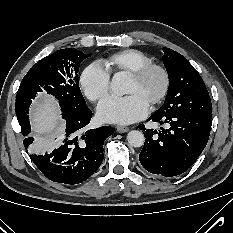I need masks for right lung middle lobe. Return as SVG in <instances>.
<instances>
[{"mask_svg": "<svg viewBox=\"0 0 233 233\" xmlns=\"http://www.w3.org/2000/svg\"><path fill=\"white\" fill-rule=\"evenodd\" d=\"M91 54L86 55L74 48L61 49L38 61L25 75L16 96L15 111L23 136L31 129L29 124V107L37 93L54 96L61 106L62 115L78 113L88 107L79 87L78 71L80 63ZM57 135L39 141L41 148L51 146Z\"/></svg>", "mask_w": 233, "mask_h": 233, "instance_id": "obj_1", "label": "right lung middle lobe"}]
</instances>
